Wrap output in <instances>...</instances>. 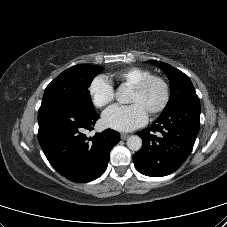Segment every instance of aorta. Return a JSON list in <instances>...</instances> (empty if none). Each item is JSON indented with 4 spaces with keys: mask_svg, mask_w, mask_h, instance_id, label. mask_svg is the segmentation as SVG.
Returning a JSON list of instances; mask_svg holds the SVG:
<instances>
[{
    "mask_svg": "<svg viewBox=\"0 0 227 227\" xmlns=\"http://www.w3.org/2000/svg\"><path fill=\"white\" fill-rule=\"evenodd\" d=\"M116 99L120 103L128 102V93L124 87H119L116 92ZM127 147L132 151H139L142 147V139L137 135H132L127 139Z\"/></svg>",
    "mask_w": 227,
    "mask_h": 227,
    "instance_id": "aorta-1",
    "label": "aorta"
}]
</instances>
